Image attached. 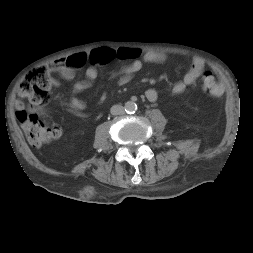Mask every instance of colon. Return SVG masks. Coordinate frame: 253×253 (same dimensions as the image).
I'll list each match as a JSON object with an SVG mask.
<instances>
[{
  "mask_svg": "<svg viewBox=\"0 0 253 253\" xmlns=\"http://www.w3.org/2000/svg\"><path fill=\"white\" fill-rule=\"evenodd\" d=\"M63 66V61L60 60L55 69L61 71ZM202 86L208 94L214 97H219L224 92L223 85L216 81L210 71L205 72ZM50 88L49 71L45 66H38L31 70L19 84L18 93L27 103L22 102L18 105L16 117L29 143L35 147L45 145L61 135V127L58 124L44 123L34 111V107L48 97Z\"/></svg>",
  "mask_w": 253,
  "mask_h": 253,
  "instance_id": "1",
  "label": "colon"
}]
</instances>
